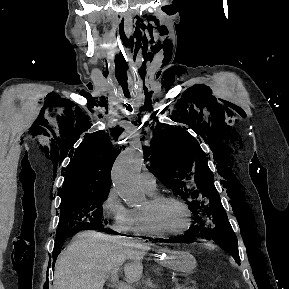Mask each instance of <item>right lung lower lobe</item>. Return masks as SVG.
<instances>
[{
	"mask_svg": "<svg viewBox=\"0 0 289 289\" xmlns=\"http://www.w3.org/2000/svg\"><path fill=\"white\" fill-rule=\"evenodd\" d=\"M103 232H107V233H111V234H118L116 232H113V231H107L105 229L102 230ZM75 234V233H74ZM73 233L66 236V237H56V243H55V246H54V252H53V258H54V262L56 261V258L58 256V253L60 252V248L63 244V241L67 238V237H70L72 235H74Z\"/></svg>",
	"mask_w": 289,
	"mask_h": 289,
	"instance_id": "1",
	"label": "right lung lower lobe"
}]
</instances>
